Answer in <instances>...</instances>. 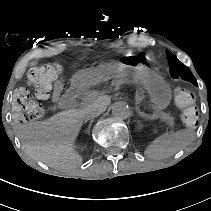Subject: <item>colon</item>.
I'll use <instances>...</instances> for the list:
<instances>
[{
	"instance_id": "colon-1",
	"label": "colon",
	"mask_w": 211,
	"mask_h": 211,
	"mask_svg": "<svg viewBox=\"0 0 211 211\" xmlns=\"http://www.w3.org/2000/svg\"><path fill=\"white\" fill-rule=\"evenodd\" d=\"M62 72L58 63H47L32 68L28 73V83L35 92V97L26 89H17L14 93L12 116L20 124H28L45 114L42 100L52 93L54 82ZM177 106L181 109L183 123L193 128L198 123V108L195 104L194 94L185 89L177 88L174 93Z\"/></svg>"
}]
</instances>
